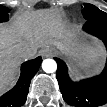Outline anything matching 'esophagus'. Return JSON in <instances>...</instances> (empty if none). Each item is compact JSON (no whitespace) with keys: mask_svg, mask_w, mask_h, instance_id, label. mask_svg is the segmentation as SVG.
I'll list each match as a JSON object with an SVG mask.
<instances>
[{"mask_svg":"<svg viewBox=\"0 0 107 107\" xmlns=\"http://www.w3.org/2000/svg\"><path fill=\"white\" fill-rule=\"evenodd\" d=\"M54 53V50L52 48L46 47L42 50V56L43 57H51Z\"/></svg>","mask_w":107,"mask_h":107,"instance_id":"esophagus-1","label":"esophagus"}]
</instances>
